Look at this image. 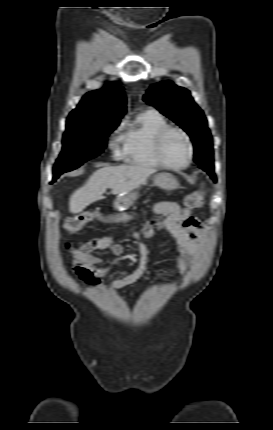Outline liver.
<instances>
[{
	"label": "liver",
	"mask_w": 273,
	"mask_h": 430,
	"mask_svg": "<svg viewBox=\"0 0 273 430\" xmlns=\"http://www.w3.org/2000/svg\"><path fill=\"white\" fill-rule=\"evenodd\" d=\"M156 170L143 165L105 166L95 171L70 197L69 210L80 213L93 202L103 199L107 188L113 194L128 193L143 184Z\"/></svg>",
	"instance_id": "liver-1"
}]
</instances>
